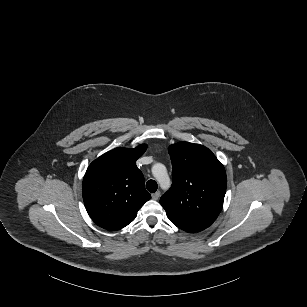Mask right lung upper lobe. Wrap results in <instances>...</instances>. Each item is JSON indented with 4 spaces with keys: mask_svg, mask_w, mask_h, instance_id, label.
<instances>
[{
    "mask_svg": "<svg viewBox=\"0 0 307 307\" xmlns=\"http://www.w3.org/2000/svg\"><path fill=\"white\" fill-rule=\"evenodd\" d=\"M147 146L115 148L88 167L82 192L86 210L100 227L115 231L131 223L151 198L144 176L136 166Z\"/></svg>",
    "mask_w": 307,
    "mask_h": 307,
    "instance_id": "right-lung-upper-lobe-1",
    "label": "right lung upper lobe"
}]
</instances>
